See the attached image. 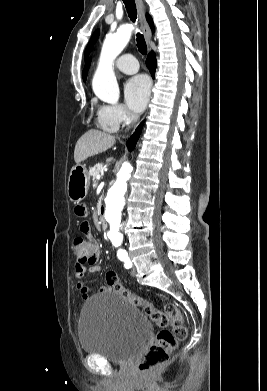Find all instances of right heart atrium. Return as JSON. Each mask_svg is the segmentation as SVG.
<instances>
[{"label":"right heart atrium","mask_w":267,"mask_h":391,"mask_svg":"<svg viewBox=\"0 0 267 391\" xmlns=\"http://www.w3.org/2000/svg\"><path fill=\"white\" fill-rule=\"evenodd\" d=\"M98 119L117 129L128 124L133 119V115L123 105L105 104L98 109Z\"/></svg>","instance_id":"right-heart-atrium-1"}]
</instances>
